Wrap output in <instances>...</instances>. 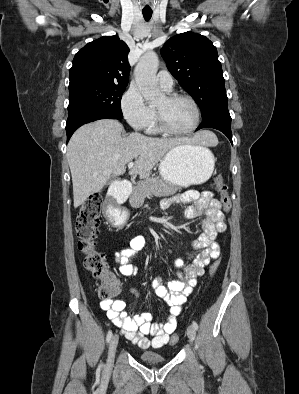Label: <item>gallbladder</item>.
I'll return each instance as SVG.
<instances>
[{"instance_id": "1", "label": "gallbladder", "mask_w": 299, "mask_h": 394, "mask_svg": "<svg viewBox=\"0 0 299 394\" xmlns=\"http://www.w3.org/2000/svg\"><path fill=\"white\" fill-rule=\"evenodd\" d=\"M114 181V178H110L107 182L108 185H110Z\"/></svg>"}]
</instances>
